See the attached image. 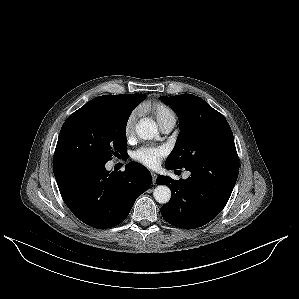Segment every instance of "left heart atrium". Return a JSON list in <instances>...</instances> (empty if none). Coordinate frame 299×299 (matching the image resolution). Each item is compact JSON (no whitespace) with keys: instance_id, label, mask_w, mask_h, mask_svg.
Listing matches in <instances>:
<instances>
[{"instance_id":"left-heart-atrium-1","label":"left heart atrium","mask_w":299,"mask_h":299,"mask_svg":"<svg viewBox=\"0 0 299 299\" xmlns=\"http://www.w3.org/2000/svg\"><path fill=\"white\" fill-rule=\"evenodd\" d=\"M165 155L163 146H143L133 153V159L148 168H156Z\"/></svg>"}]
</instances>
